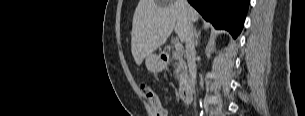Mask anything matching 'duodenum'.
Instances as JSON below:
<instances>
[{
  "instance_id": "1",
  "label": "duodenum",
  "mask_w": 305,
  "mask_h": 116,
  "mask_svg": "<svg viewBox=\"0 0 305 116\" xmlns=\"http://www.w3.org/2000/svg\"><path fill=\"white\" fill-rule=\"evenodd\" d=\"M165 57H168L165 55ZM179 95L184 104H189L192 100V82L189 78H184L179 87Z\"/></svg>"
}]
</instances>
